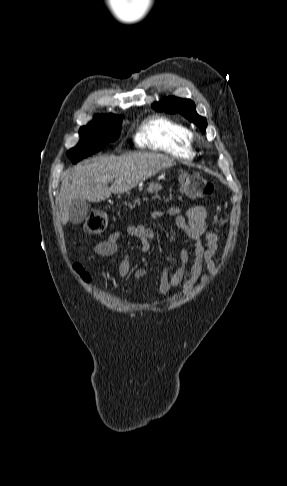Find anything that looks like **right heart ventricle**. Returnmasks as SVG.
I'll return each mask as SVG.
<instances>
[{
  "label": "right heart ventricle",
  "mask_w": 287,
  "mask_h": 486,
  "mask_svg": "<svg viewBox=\"0 0 287 486\" xmlns=\"http://www.w3.org/2000/svg\"><path fill=\"white\" fill-rule=\"evenodd\" d=\"M135 143L140 148L179 158H189L195 154L188 127L168 117L158 116L145 121L135 134Z\"/></svg>",
  "instance_id": "obj_1"
}]
</instances>
